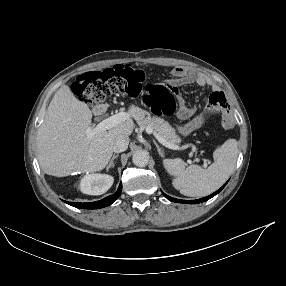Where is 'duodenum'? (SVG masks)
<instances>
[{"label": "duodenum", "instance_id": "1", "mask_svg": "<svg viewBox=\"0 0 286 286\" xmlns=\"http://www.w3.org/2000/svg\"><path fill=\"white\" fill-rule=\"evenodd\" d=\"M104 110H105L104 107H98V108H97V113H98L99 115H102V114L104 113Z\"/></svg>", "mask_w": 286, "mask_h": 286}]
</instances>
